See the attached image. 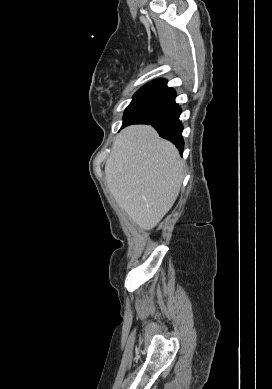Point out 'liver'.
<instances>
[{
  "label": "liver",
  "mask_w": 272,
  "mask_h": 389,
  "mask_svg": "<svg viewBox=\"0 0 272 389\" xmlns=\"http://www.w3.org/2000/svg\"><path fill=\"white\" fill-rule=\"evenodd\" d=\"M183 178L178 150L148 125L123 129L105 165L109 191L143 230L153 229L172 208Z\"/></svg>",
  "instance_id": "liver-1"
}]
</instances>
